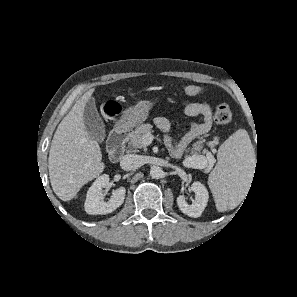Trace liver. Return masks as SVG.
<instances>
[{
	"label": "liver",
	"instance_id": "1",
	"mask_svg": "<svg viewBox=\"0 0 297 297\" xmlns=\"http://www.w3.org/2000/svg\"><path fill=\"white\" fill-rule=\"evenodd\" d=\"M90 89L76 101L58 125L49 151V177L54 193L62 201L72 200L89 181L99 176L105 165L101 148L91 138L84 124L83 114Z\"/></svg>",
	"mask_w": 297,
	"mask_h": 297
}]
</instances>
